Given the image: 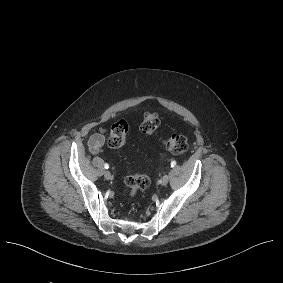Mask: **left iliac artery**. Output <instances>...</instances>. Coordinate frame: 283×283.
<instances>
[{"label":"left iliac artery","mask_w":283,"mask_h":283,"mask_svg":"<svg viewBox=\"0 0 283 283\" xmlns=\"http://www.w3.org/2000/svg\"><path fill=\"white\" fill-rule=\"evenodd\" d=\"M176 165V161L171 162V167H174Z\"/></svg>","instance_id":"44dca946"}]
</instances>
